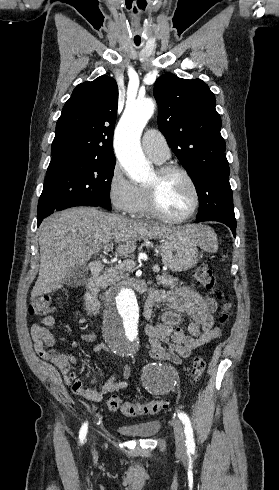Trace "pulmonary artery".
<instances>
[{
    "label": "pulmonary artery",
    "mask_w": 279,
    "mask_h": 490,
    "mask_svg": "<svg viewBox=\"0 0 279 490\" xmlns=\"http://www.w3.org/2000/svg\"><path fill=\"white\" fill-rule=\"evenodd\" d=\"M142 147L146 155L156 163L170 157V149L165 137L158 129H147L142 136Z\"/></svg>",
    "instance_id": "obj_1"
}]
</instances>
